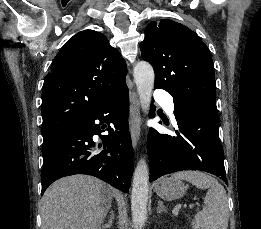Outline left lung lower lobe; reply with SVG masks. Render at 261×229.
Returning <instances> with one entry per match:
<instances>
[{
  "mask_svg": "<svg viewBox=\"0 0 261 229\" xmlns=\"http://www.w3.org/2000/svg\"><path fill=\"white\" fill-rule=\"evenodd\" d=\"M152 109L150 117H153ZM177 136L163 135L151 129L148 135L150 178L183 170H202L228 183L224 152L219 139V116L199 102L174 101Z\"/></svg>",
  "mask_w": 261,
  "mask_h": 229,
  "instance_id": "left-lung-lower-lobe-1",
  "label": "left lung lower lobe"
}]
</instances>
